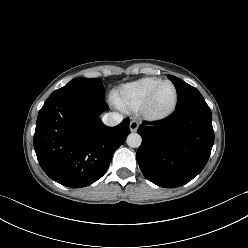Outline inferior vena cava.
Instances as JSON below:
<instances>
[{
  "instance_id": "obj_1",
  "label": "inferior vena cava",
  "mask_w": 248,
  "mask_h": 248,
  "mask_svg": "<svg viewBox=\"0 0 248 248\" xmlns=\"http://www.w3.org/2000/svg\"><path fill=\"white\" fill-rule=\"evenodd\" d=\"M123 120V116L117 112L107 113L103 116L102 121L107 126H116Z\"/></svg>"
}]
</instances>
